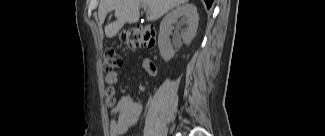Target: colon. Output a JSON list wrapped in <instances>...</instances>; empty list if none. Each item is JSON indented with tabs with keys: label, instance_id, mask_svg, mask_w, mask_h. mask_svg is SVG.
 <instances>
[{
	"label": "colon",
	"instance_id": "5ec220e1",
	"mask_svg": "<svg viewBox=\"0 0 325 136\" xmlns=\"http://www.w3.org/2000/svg\"><path fill=\"white\" fill-rule=\"evenodd\" d=\"M120 41L127 47L150 48L155 42V31L150 25L132 26L120 33ZM122 64L121 57L113 49H107L103 56V70L106 73L116 70Z\"/></svg>",
	"mask_w": 325,
	"mask_h": 136
}]
</instances>
